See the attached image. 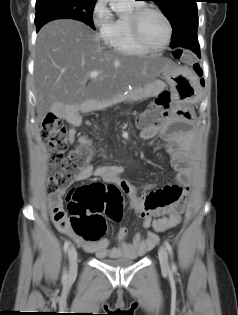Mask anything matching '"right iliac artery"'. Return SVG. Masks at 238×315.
Masks as SVG:
<instances>
[{"label": "right iliac artery", "instance_id": "82829eb1", "mask_svg": "<svg viewBox=\"0 0 238 315\" xmlns=\"http://www.w3.org/2000/svg\"><path fill=\"white\" fill-rule=\"evenodd\" d=\"M69 245H70V241L66 240L64 243V252L67 253L68 249H69ZM63 280L66 281L67 280V271L66 269H64V273H63Z\"/></svg>", "mask_w": 238, "mask_h": 315}]
</instances>
